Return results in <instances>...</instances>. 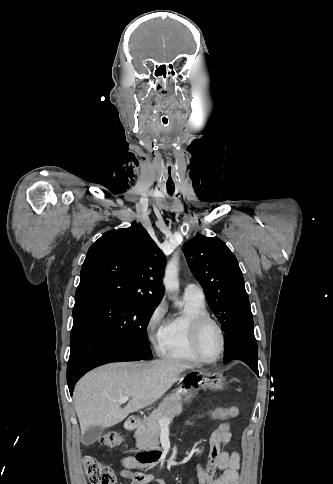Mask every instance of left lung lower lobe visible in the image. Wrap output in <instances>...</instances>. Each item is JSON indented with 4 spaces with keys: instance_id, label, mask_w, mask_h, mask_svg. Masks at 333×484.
<instances>
[{
    "instance_id": "left-lung-lower-lobe-1",
    "label": "left lung lower lobe",
    "mask_w": 333,
    "mask_h": 484,
    "mask_svg": "<svg viewBox=\"0 0 333 484\" xmlns=\"http://www.w3.org/2000/svg\"><path fill=\"white\" fill-rule=\"evenodd\" d=\"M234 359L244 361L258 375L257 343L251 310L239 315L225 336L224 363Z\"/></svg>"
}]
</instances>
